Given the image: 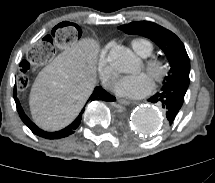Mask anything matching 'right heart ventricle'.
<instances>
[{"instance_id": "obj_1", "label": "right heart ventricle", "mask_w": 215, "mask_h": 183, "mask_svg": "<svg viewBox=\"0 0 215 183\" xmlns=\"http://www.w3.org/2000/svg\"><path fill=\"white\" fill-rule=\"evenodd\" d=\"M130 45L133 51L143 58L150 56L154 51L153 43L146 38H134L130 41Z\"/></svg>"}]
</instances>
